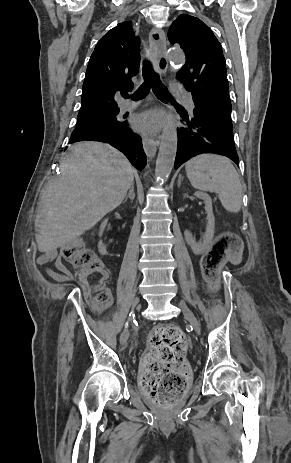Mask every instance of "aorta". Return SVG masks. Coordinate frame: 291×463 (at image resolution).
<instances>
[{"mask_svg": "<svg viewBox=\"0 0 291 463\" xmlns=\"http://www.w3.org/2000/svg\"><path fill=\"white\" fill-rule=\"evenodd\" d=\"M168 60L175 66V69L180 68L185 63V55L182 51L171 50L168 52ZM177 130L174 121L172 108L169 106L166 123L163 127L159 153L156 160L155 176L158 181H166L174 166L177 152Z\"/></svg>", "mask_w": 291, "mask_h": 463, "instance_id": "1", "label": "aorta"}]
</instances>
